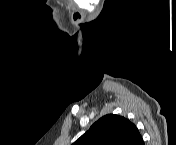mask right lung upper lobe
I'll return each instance as SVG.
<instances>
[{"label":"right lung upper lobe","instance_id":"cb5924a9","mask_svg":"<svg viewBox=\"0 0 176 145\" xmlns=\"http://www.w3.org/2000/svg\"><path fill=\"white\" fill-rule=\"evenodd\" d=\"M73 145H144L137 127L128 119L108 114L96 121Z\"/></svg>","mask_w":176,"mask_h":145}]
</instances>
